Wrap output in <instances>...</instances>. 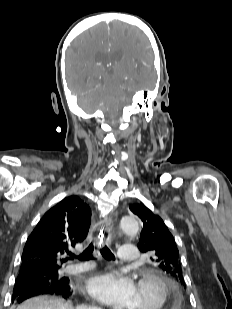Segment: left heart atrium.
<instances>
[{
  "label": "left heart atrium",
  "instance_id": "left-heart-atrium-1",
  "mask_svg": "<svg viewBox=\"0 0 232 309\" xmlns=\"http://www.w3.org/2000/svg\"><path fill=\"white\" fill-rule=\"evenodd\" d=\"M86 291L92 298L114 309H132L136 284L127 276L107 271L90 278Z\"/></svg>",
  "mask_w": 232,
  "mask_h": 309
}]
</instances>
